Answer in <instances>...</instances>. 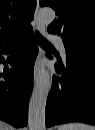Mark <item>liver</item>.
<instances>
[{"mask_svg":"<svg viewBox=\"0 0 95 130\" xmlns=\"http://www.w3.org/2000/svg\"><path fill=\"white\" fill-rule=\"evenodd\" d=\"M0 129L1 130H14L12 126H10L9 124L5 122H1Z\"/></svg>","mask_w":95,"mask_h":130,"instance_id":"liver-1","label":"liver"}]
</instances>
